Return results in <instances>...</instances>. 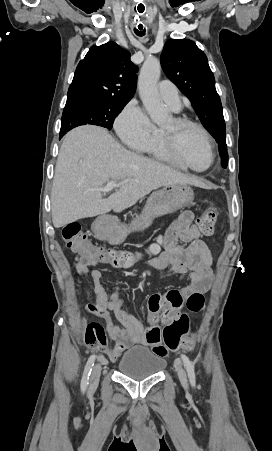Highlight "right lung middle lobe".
Wrapping results in <instances>:
<instances>
[{"label": "right lung middle lobe", "instance_id": "obj_1", "mask_svg": "<svg viewBox=\"0 0 272 451\" xmlns=\"http://www.w3.org/2000/svg\"><path fill=\"white\" fill-rule=\"evenodd\" d=\"M129 101L78 99L66 102L61 120L60 138L69 130L85 124L111 130L114 119Z\"/></svg>", "mask_w": 272, "mask_h": 451}]
</instances>
